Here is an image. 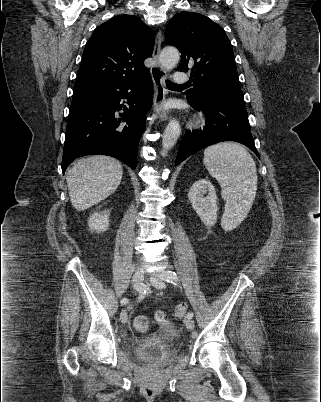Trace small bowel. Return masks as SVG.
<instances>
[{"instance_id": "obj_1", "label": "small bowel", "mask_w": 321, "mask_h": 402, "mask_svg": "<svg viewBox=\"0 0 321 402\" xmlns=\"http://www.w3.org/2000/svg\"><path fill=\"white\" fill-rule=\"evenodd\" d=\"M155 317L159 322L162 336L165 338H172L176 334V329L172 325V322L166 318L162 311L156 312Z\"/></svg>"}]
</instances>
